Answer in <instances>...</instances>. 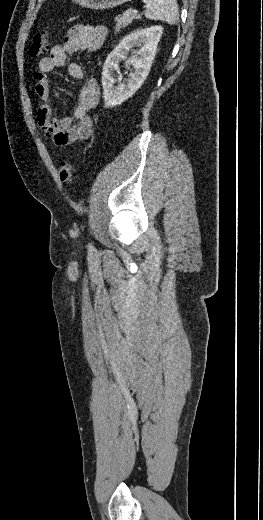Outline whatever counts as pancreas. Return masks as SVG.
<instances>
[{
    "instance_id": "obj_1",
    "label": "pancreas",
    "mask_w": 263,
    "mask_h": 520,
    "mask_svg": "<svg viewBox=\"0 0 263 520\" xmlns=\"http://www.w3.org/2000/svg\"><path fill=\"white\" fill-rule=\"evenodd\" d=\"M140 18L141 15H138L135 11L127 10L123 13V15L115 18V31L119 32L122 28L127 27L132 22V20Z\"/></svg>"
}]
</instances>
